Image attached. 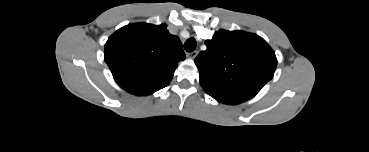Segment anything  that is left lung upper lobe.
Masks as SVG:
<instances>
[{
  "mask_svg": "<svg viewBox=\"0 0 369 152\" xmlns=\"http://www.w3.org/2000/svg\"><path fill=\"white\" fill-rule=\"evenodd\" d=\"M207 49L195 58L201 86L208 94L249 100L272 79L277 59L258 35L243 31L215 32Z\"/></svg>",
  "mask_w": 369,
  "mask_h": 152,
  "instance_id": "1",
  "label": "left lung upper lobe"
}]
</instances>
